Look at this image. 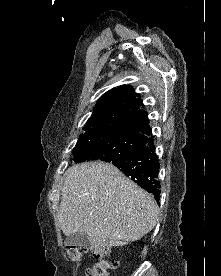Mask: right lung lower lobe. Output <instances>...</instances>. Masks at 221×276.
<instances>
[{
	"label": "right lung lower lobe",
	"instance_id": "98d812e1",
	"mask_svg": "<svg viewBox=\"0 0 221 276\" xmlns=\"http://www.w3.org/2000/svg\"><path fill=\"white\" fill-rule=\"evenodd\" d=\"M111 163L118 167L126 176H130L143 189L152 193L159 203V162L155 153L153 137H146L143 145L133 150L126 157L116 159Z\"/></svg>",
	"mask_w": 221,
	"mask_h": 276
}]
</instances>
